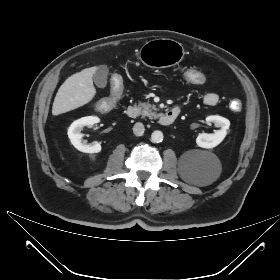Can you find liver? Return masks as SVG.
Here are the masks:
<instances>
[{
  "instance_id": "liver-1",
  "label": "liver",
  "mask_w": 280,
  "mask_h": 280,
  "mask_svg": "<svg viewBox=\"0 0 280 280\" xmlns=\"http://www.w3.org/2000/svg\"><path fill=\"white\" fill-rule=\"evenodd\" d=\"M97 67L83 69L68 77L60 86L52 106V114L59 115L89 103L96 94L93 75Z\"/></svg>"
}]
</instances>
